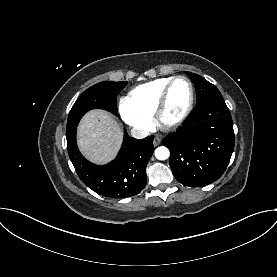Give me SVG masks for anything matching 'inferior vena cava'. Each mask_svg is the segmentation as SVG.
I'll return each mask as SVG.
<instances>
[{
	"instance_id": "1",
	"label": "inferior vena cava",
	"mask_w": 277,
	"mask_h": 277,
	"mask_svg": "<svg viewBox=\"0 0 277 277\" xmlns=\"http://www.w3.org/2000/svg\"><path fill=\"white\" fill-rule=\"evenodd\" d=\"M131 135L136 139H143L149 135V132L145 129H132Z\"/></svg>"
}]
</instances>
